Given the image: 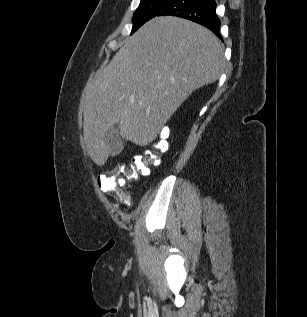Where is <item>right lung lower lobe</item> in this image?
<instances>
[{"mask_svg":"<svg viewBox=\"0 0 307 317\" xmlns=\"http://www.w3.org/2000/svg\"><path fill=\"white\" fill-rule=\"evenodd\" d=\"M214 0H172L158 16H177L194 21L211 30L221 40L220 20L216 15Z\"/></svg>","mask_w":307,"mask_h":317,"instance_id":"obj_1","label":"right lung lower lobe"}]
</instances>
